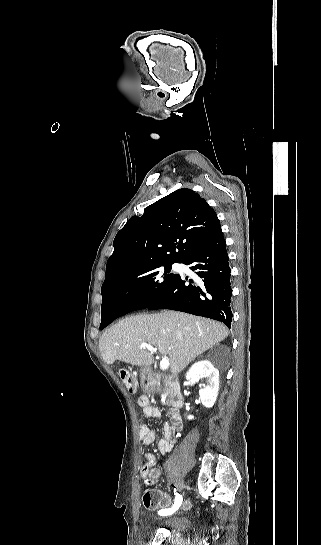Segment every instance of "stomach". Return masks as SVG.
<instances>
[{
    "mask_svg": "<svg viewBox=\"0 0 321 545\" xmlns=\"http://www.w3.org/2000/svg\"><path fill=\"white\" fill-rule=\"evenodd\" d=\"M150 371L148 367H140V379H141V387L142 389H145V379L148 377Z\"/></svg>",
    "mask_w": 321,
    "mask_h": 545,
    "instance_id": "0dacf381",
    "label": "stomach"
}]
</instances>
